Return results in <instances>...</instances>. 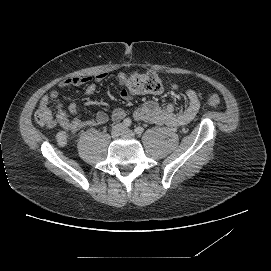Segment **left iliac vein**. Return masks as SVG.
<instances>
[{"mask_svg":"<svg viewBox=\"0 0 271 271\" xmlns=\"http://www.w3.org/2000/svg\"><path fill=\"white\" fill-rule=\"evenodd\" d=\"M124 137H129V138H133L135 136V133L130 130V129H123V134Z\"/></svg>","mask_w":271,"mask_h":271,"instance_id":"left-iliac-vein-1","label":"left iliac vein"}]
</instances>
